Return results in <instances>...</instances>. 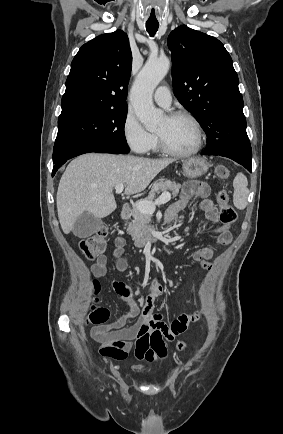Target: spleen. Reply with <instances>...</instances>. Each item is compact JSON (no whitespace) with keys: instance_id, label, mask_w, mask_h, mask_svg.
<instances>
[{"instance_id":"obj_1","label":"spleen","mask_w":283,"mask_h":434,"mask_svg":"<svg viewBox=\"0 0 283 434\" xmlns=\"http://www.w3.org/2000/svg\"><path fill=\"white\" fill-rule=\"evenodd\" d=\"M248 181L244 174L238 173L233 181L234 195L233 203L237 209L243 210L247 205L249 190Z\"/></svg>"}]
</instances>
